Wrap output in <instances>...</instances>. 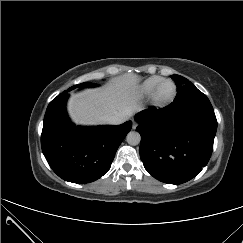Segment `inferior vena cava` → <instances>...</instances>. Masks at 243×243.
<instances>
[{
	"mask_svg": "<svg viewBox=\"0 0 243 243\" xmlns=\"http://www.w3.org/2000/svg\"><path fill=\"white\" fill-rule=\"evenodd\" d=\"M126 120V116L124 115H111L106 117L105 121L108 124H112V125H118L123 123Z\"/></svg>",
	"mask_w": 243,
	"mask_h": 243,
	"instance_id": "1",
	"label": "inferior vena cava"
}]
</instances>
